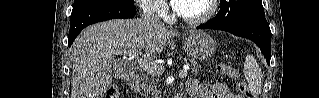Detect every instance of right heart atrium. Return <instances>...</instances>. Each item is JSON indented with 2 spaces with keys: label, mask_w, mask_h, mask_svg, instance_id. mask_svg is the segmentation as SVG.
<instances>
[{
  "label": "right heart atrium",
  "mask_w": 319,
  "mask_h": 98,
  "mask_svg": "<svg viewBox=\"0 0 319 98\" xmlns=\"http://www.w3.org/2000/svg\"><path fill=\"white\" fill-rule=\"evenodd\" d=\"M138 4L142 6L145 12L151 17H163L167 14V6L162 0H142L138 1Z\"/></svg>",
  "instance_id": "right-heart-atrium-1"
}]
</instances>
